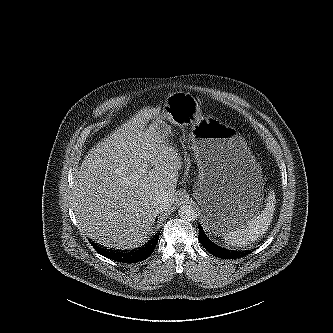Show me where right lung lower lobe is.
I'll use <instances>...</instances> for the list:
<instances>
[{"label": "right lung lower lobe", "mask_w": 333, "mask_h": 333, "mask_svg": "<svg viewBox=\"0 0 333 333\" xmlns=\"http://www.w3.org/2000/svg\"><path fill=\"white\" fill-rule=\"evenodd\" d=\"M159 239V233H157L151 240H149L142 247L137 248L131 252H118L104 248L97 243L92 242V246L96 251L105 257L113 259L117 262H138L148 258L154 251Z\"/></svg>", "instance_id": "obj_1"}]
</instances>
